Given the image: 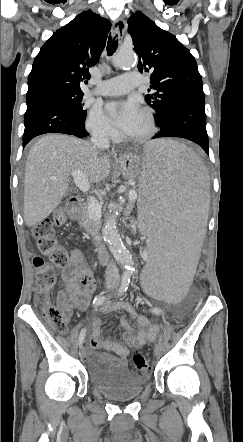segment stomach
I'll return each mask as SVG.
<instances>
[{
    "label": "stomach",
    "instance_id": "stomach-1",
    "mask_svg": "<svg viewBox=\"0 0 243 442\" xmlns=\"http://www.w3.org/2000/svg\"><path fill=\"white\" fill-rule=\"evenodd\" d=\"M122 174L127 178H136L137 166L139 165V156L134 154H125L118 162H117Z\"/></svg>",
    "mask_w": 243,
    "mask_h": 442
}]
</instances>
